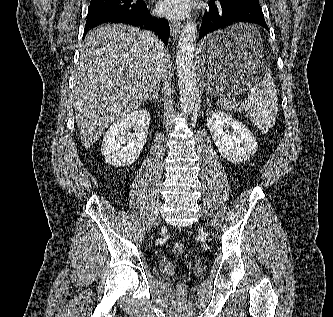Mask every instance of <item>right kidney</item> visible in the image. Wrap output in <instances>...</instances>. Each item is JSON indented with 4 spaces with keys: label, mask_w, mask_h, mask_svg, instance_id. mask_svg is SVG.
I'll list each match as a JSON object with an SVG mask.
<instances>
[{
    "label": "right kidney",
    "mask_w": 333,
    "mask_h": 317,
    "mask_svg": "<svg viewBox=\"0 0 333 317\" xmlns=\"http://www.w3.org/2000/svg\"><path fill=\"white\" fill-rule=\"evenodd\" d=\"M150 120V113L144 109L118 118L103 138L101 152L105 161L116 167L133 164L146 143ZM131 128L134 133L126 134Z\"/></svg>",
    "instance_id": "right-kidney-1"
}]
</instances>
